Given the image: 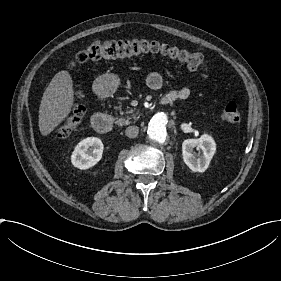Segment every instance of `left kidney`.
<instances>
[{
	"label": "left kidney",
	"mask_w": 281,
	"mask_h": 281,
	"mask_svg": "<svg viewBox=\"0 0 281 281\" xmlns=\"http://www.w3.org/2000/svg\"><path fill=\"white\" fill-rule=\"evenodd\" d=\"M195 147L201 149L203 154L196 157L193 152ZM215 151L216 143L208 134H203L198 139L184 140L182 143L183 160L193 172H205Z\"/></svg>",
	"instance_id": "left-kidney-1"
}]
</instances>
